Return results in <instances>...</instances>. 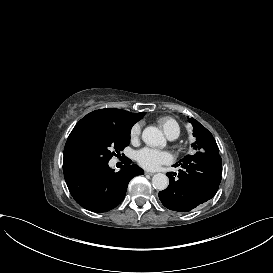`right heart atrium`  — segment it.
<instances>
[{
  "label": "right heart atrium",
  "mask_w": 273,
  "mask_h": 273,
  "mask_svg": "<svg viewBox=\"0 0 273 273\" xmlns=\"http://www.w3.org/2000/svg\"><path fill=\"white\" fill-rule=\"evenodd\" d=\"M141 133V128L138 124H135L130 130V137L132 140H138Z\"/></svg>",
  "instance_id": "right-heart-atrium-1"
}]
</instances>
